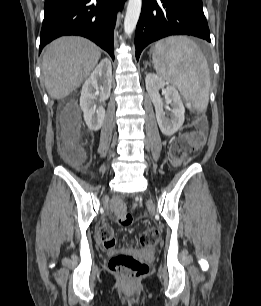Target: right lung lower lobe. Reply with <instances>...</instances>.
Instances as JSON below:
<instances>
[{
	"mask_svg": "<svg viewBox=\"0 0 261 306\" xmlns=\"http://www.w3.org/2000/svg\"><path fill=\"white\" fill-rule=\"evenodd\" d=\"M125 0H45L40 48L63 35L84 36L114 59L113 31Z\"/></svg>",
	"mask_w": 261,
	"mask_h": 306,
	"instance_id": "98d812e1",
	"label": "right lung lower lobe"
}]
</instances>
